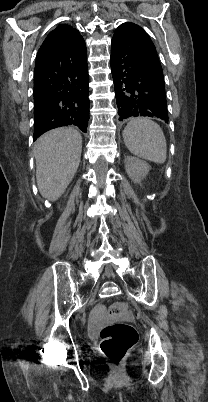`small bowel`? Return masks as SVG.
Instances as JSON below:
<instances>
[{
  "mask_svg": "<svg viewBox=\"0 0 208 402\" xmlns=\"http://www.w3.org/2000/svg\"><path fill=\"white\" fill-rule=\"evenodd\" d=\"M87 315L90 317L89 321L92 329L97 330L100 324L106 323L108 312L106 309H92L87 312Z\"/></svg>",
  "mask_w": 208,
  "mask_h": 402,
  "instance_id": "1",
  "label": "small bowel"
}]
</instances>
